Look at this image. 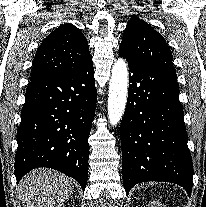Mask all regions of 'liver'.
I'll use <instances>...</instances> for the list:
<instances>
[{"label":"liver","mask_w":206,"mask_h":207,"mask_svg":"<svg viewBox=\"0 0 206 207\" xmlns=\"http://www.w3.org/2000/svg\"><path fill=\"white\" fill-rule=\"evenodd\" d=\"M72 179L50 169H36L19 183L24 207H61L73 192Z\"/></svg>","instance_id":"1"}]
</instances>
